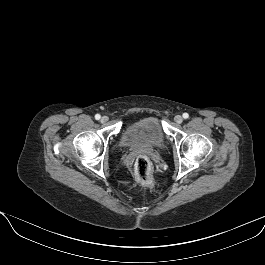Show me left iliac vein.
Instances as JSON below:
<instances>
[{
  "mask_svg": "<svg viewBox=\"0 0 265 265\" xmlns=\"http://www.w3.org/2000/svg\"><path fill=\"white\" fill-rule=\"evenodd\" d=\"M174 120L177 124H181L183 122V117L181 115H176Z\"/></svg>",
  "mask_w": 265,
  "mask_h": 265,
  "instance_id": "left-iliac-vein-1",
  "label": "left iliac vein"
}]
</instances>
